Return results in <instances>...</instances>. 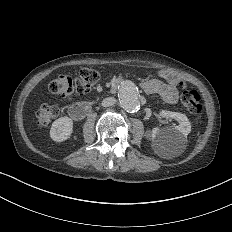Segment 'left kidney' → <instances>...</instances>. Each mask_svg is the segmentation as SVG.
I'll list each match as a JSON object with an SVG mask.
<instances>
[{
	"label": "left kidney",
	"mask_w": 232,
	"mask_h": 232,
	"mask_svg": "<svg viewBox=\"0 0 232 232\" xmlns=\"http://www.w3.org/2000/svg\"><path fill=\"white\" fill-rule=\"evenodd\" d=\"M160 116L175 119L179 125L173 128L152 129V147L155 152L166 153L183 151L187 143V135L191 132V124L185 114L162 110Z\"/></svg>",
	"instance_id": "1"
}]
</instances>
